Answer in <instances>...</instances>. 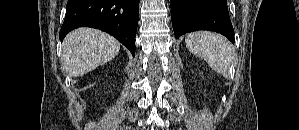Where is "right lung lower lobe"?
Segmentation results:
<instances>
[{"mask_svg": "<svg viewBox=\"0 0 299 130\" xmlns=\"http://www.w3.org/2000/svg\"><path fill=\"white\" fill-rule=\"evenodd\" d=\"M139 0H68L60 40L73 29L103 30L125 45L135 56Z\"/></svg>", "mask_w": 299, "mask_h": 130, "instance_id": "obj_1", "label": "right lung lower lobe"}]
</instances>
